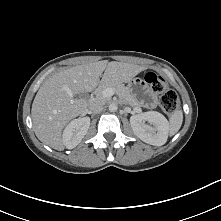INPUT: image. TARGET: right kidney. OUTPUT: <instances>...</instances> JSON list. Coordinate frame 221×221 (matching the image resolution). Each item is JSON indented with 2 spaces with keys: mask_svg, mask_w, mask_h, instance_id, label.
<instances>
[{
  "mask_svg": "<svg viewBox=\"0 0 221 221\" xmlns=\"http://www.w3.org/2000/svg\"><path fill=\"white\" fill-rule=\"evenodd\" d=\"M90 127L89 117H80L71 121L65 128L62 140L67 149H73L81 143Z\"/></svg>",
  "mask_w": 221,
  "mask_h": 221,
  "instance_id": "1",
  "label": "right kidney"
}]
</instances>
